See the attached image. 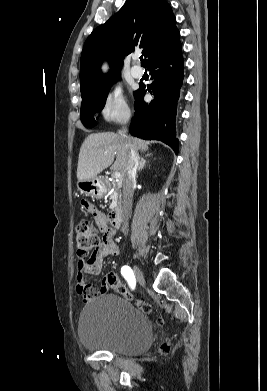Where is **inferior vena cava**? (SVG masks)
<instances>
[{
  "label": "inferior vena cava",
  "mask_w": 267,
  "mask_h": 391,
  "mask_svg": "<svg viewBox=\"0 0 267 391\" xmlns=\"http://www.w3.org/2000/svg\"><path fill=\"white\" fill-rule=\"evenodd\" d=\"M129 119V116H127L126 118H124L123 120V128L122 130L120 131V136L122 138H126V132H127V128H126V123ZM127 150H128V159H127V164H126V168H125V174L123 176V206H122V209H123V226H122V230L123 232H126L127 231V227H128V215H129V211H130V208H131V204H132V196H133V185L135 183V178H136V172H137V168H138V165H139V155H138V152L137 150L135 149V147L130 144V143H126L125 144Z\"/></svg>",
  "instance_id": "1"
}]
</instances>
